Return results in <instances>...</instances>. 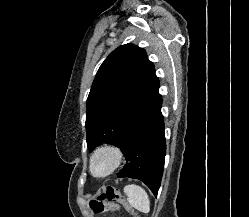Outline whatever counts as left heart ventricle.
<instances>
[{
  "mask_svg": "<svg viewBox=\"0 0 249 217\" xmlns=\"http://www.w3.org/2000/svg\"><path fill=\"white\" fill-rule=\"evenodd\" d=\"M107 164V160L105 158H101L96 163V169L101 170L103 169Z\"/></svg>",
  "mask_w": 249,
  "mask_h": 217,
  "instance_id": "b2bd125f",
  "label": "left heart ventricle"
}]
</instances>
